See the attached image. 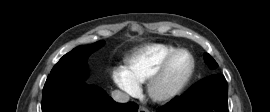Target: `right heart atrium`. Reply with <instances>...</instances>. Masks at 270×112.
I'll return each mask as SVG.
<instances>
[{
  "mask_svg": "<svg viewBox=\"0 0 270 112\" xmlns=\"http://www.w3.org/2000/svg\"><path fill=\"white\" fill-rule=\"evenodd\" d=\"M113 80L117 86L130 95H136L140 91L139 85L133 81L124 67L117 66L113 69Z\"/></svg>",
  "mask_w": 270,
  "mask_h": 112,
  "instance_id": "right-heart-atrium-1",
  "label": "right heart atrium"
}]
</instances>
